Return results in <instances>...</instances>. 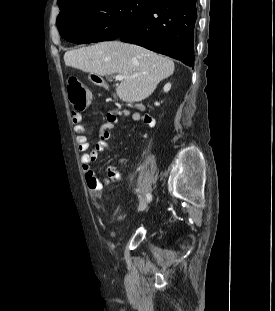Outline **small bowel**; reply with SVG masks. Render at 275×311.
<instances>
[{"label": "small bowel", "mask_w": 275, "mask_h": 311, "mask_svg": "<svg viewBox=\"0 0 275 311\" xmlns=\"http://www.w3.org/2000/svg\"><path fill=\"white\" fill-rule=\"evenodd\" d=\"M130 116L128 110H119L114 113H110L107 116V122L104 124L103 129L99 136V141L95 144L94 148H90L87 141V129L82 122V116L78 111L72 113V119L74 121V131L76 135V142L80 153L81 168L84 175L85 183L90 192L98 194L102 189V183L107 180H100L94 170L91 167V163L94 162L100 153L109 148L110 131L113 129L120 119H125ZM132 119L136 122H143L148 127L155 126V119L150 115H144L139 111L132 114ZM108 176L111 179H120L119 172L116 165L112 164L107 168Z\"/></svg>", "instance_id": "obj_1"}]
</instances>
